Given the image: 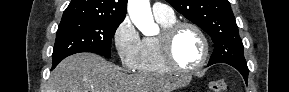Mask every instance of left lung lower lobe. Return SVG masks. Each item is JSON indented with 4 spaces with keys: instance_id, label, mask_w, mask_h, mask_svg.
Segmentation results:
<instances>
[{
    "instance_id": "0a47b994",
    "label": "left lung lower lobe",
    "mask_w": 289,
    "mask_h": 92,
    "mask_svg": "<svg viewBox=\"0 0 289 92\" xmlns=\"http://www.w3.org/2000/svg\"><path fill=\"white\" fill-rule=\"evenodd\" d=\"M231 66H233L234 68H236L244 77L245 82L247 83L248 80V74H249V70L247 65H241V64H233V63H227ZM209 66V64H208Z\"/></svg>"
}]
</instances>
